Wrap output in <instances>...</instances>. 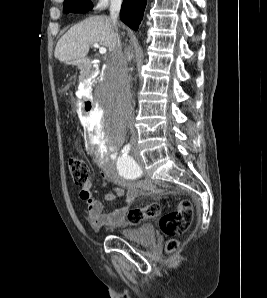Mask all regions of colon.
<instances>
[{
  "mask_svg": "<svg viewBox=\"0 0 267 298\" xmlns=\"http://www.w3.org/2000/svg\"><path fill=\"white\" fill-rule=\"evenodd\" d=\"M68 167L73 182L78 186H84L89 181V168L87 164L76 157L68 160ZM159 217L160 230L171 237L167 242V250L172 252L178 248L175 237L184 234L191 225L193 210L190 201L180 200L174 209L162 214L161 205L157 202L150 203L144 207L130 209L126 214L130 225H138L146 219Z\"/></svg>",
  "mask_w": 267,
  "mask_h": 298,
  "instance_id": "obj_1",
  "label": "colon"
}]
</instances>
